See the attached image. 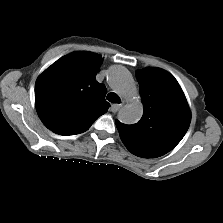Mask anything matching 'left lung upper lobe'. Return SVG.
<instances>
[{"instance_id": "left-lung-upper-lobe-1", "label": "left lung upper lobe", "mask_w": 223, "mask_h": 223, "mask_svg": "<svg viewBox=\"0 0 223 223\" xmlns=\"http://www.w3.org/2000/svg\"><path fill=\"white\" fill-rule=\"evenodd\" d=\"M144 105L141 120L133 125L115 121L127 149L139 157L155 158L172 150L186 134L191 113L177 80L159 68L136 72Z\"/></svg>"}]
</instances>
